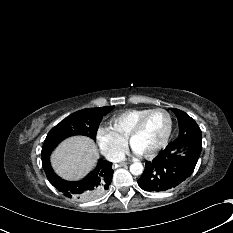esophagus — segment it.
<instances>
[{
  "label": "esophagus",
  "instance_id": "1",
  "mask_svg": "<svg viewBox=\"0 0 233 233\" xmlns=\"http://www.w3.org/2000/svg\"><path fill=\"white\" fill-rule=\"evenodd\" d=\"M127 163L126 162H120L119 163V166H124V165H126Z\"/></svg>",
  "mask_w": 233,
  "mask_h": 233
}]
</instances>
